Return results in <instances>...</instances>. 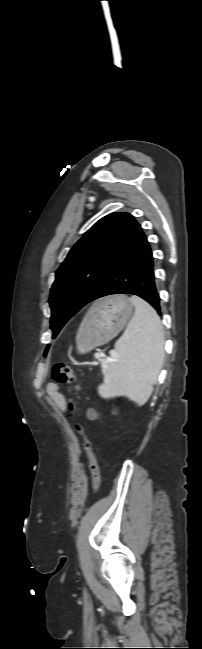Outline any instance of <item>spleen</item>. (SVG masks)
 I'll return each mask as SVG.
<instances>
[{
  "label": "spleen",
  "instance_id": "spleen-1",
  "mask_svg": "<svg viewBox=\"0 0 202 649\" xmlns=\"http://www.w3.org/2000/svg\"><path fill=\"white\" fill-rule=\"evenodd\" d=\"M135 313L115 344L117 359L104 374L99 394L126 395L143 405L151 396L164 357V328L156 311L138 296L130 298Z\"/></svg>",
  "mask_w": 202,
  "mask_h": 649
}]
</instances>
